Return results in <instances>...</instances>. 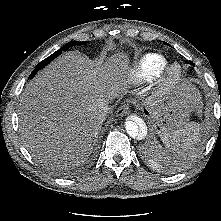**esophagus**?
<instances>
[{
	"label": "esophagus",
	"mask_w": 221,
	"mask_h": 221,
	"mask_svg": "<svg viewBox=\"0 0 221 221\" xmlns=\"http://www.w3.org/2000/svg\"><path fill=\"white\" fill-rule=\"evenodd\" d=\"M129 113H130L129 105L124 104L118 108V110L116 112V116L117 117H124V116L128 115Z\"/></svg>",
	"instance_id": "1"
}]
</instances>
